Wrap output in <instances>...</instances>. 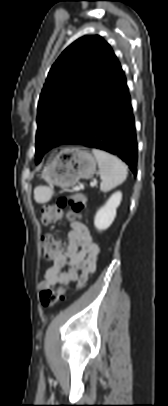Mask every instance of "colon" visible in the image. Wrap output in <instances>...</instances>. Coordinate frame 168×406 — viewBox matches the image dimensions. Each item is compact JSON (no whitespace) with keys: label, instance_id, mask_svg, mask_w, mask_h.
<instances>
[{"label":"colon","instance_id":"1","mask_svg":"<svg viewBox=\"0 0 168 406\" xmlns=\"http://www.w3.org/2000/svg\"><path fill=\"white\" fill-rule=\"evenodd\" d=\"M86 198L82 194H73L62 196L53 204L46 205L41 210V222L45 225L54 224L60 221L64 215V208H70L74 212L80 211L85 207ZM44 256L48 260H54L61 253V246L58 239L50 235L42 237ZM66 289L53 291L44 289L40 293V303L44 308L54 306L58 301L65 297Z\"/></svg>","mask_w":168,"mask_h":406}]
</instances>
